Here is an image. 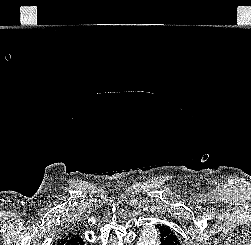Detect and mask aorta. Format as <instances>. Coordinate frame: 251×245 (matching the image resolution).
Instances as JSON below:
<instances>
[{"label":"aorta","mask_w":251,"mask_h":245,"mask_svg":"<svg viewBox=\"0 0 251 245\" xmlns=\"http://www.w3.org/2000/svg\"><path fill=\"white\" fill-rule=\"evenodd\" d=\"M137 245H158V232L154 226H147L140 233Z\"/></svg>","instance_id":"762f6f07"}]
</instances>
